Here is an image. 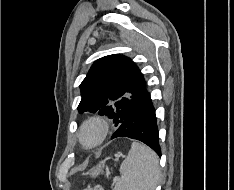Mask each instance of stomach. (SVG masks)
Here are the masks:
<instances>
[{"label": "stomach", "mask_w": 234, "mask_h": 190, "mask_svg": "<svg viewBox=\"0 0 234 190\" xmlns=\"http://www.w3.org/2000/svg\"><path fill=\"white\" fill-rule=\"evenodd\" d=\"M103 167H104L103 165H98V166L92 168L89 174H90L92 177H96V176H98L100 173H102Z\"/></svg>", "instance_id": "stomach-1"}]
</instances>
